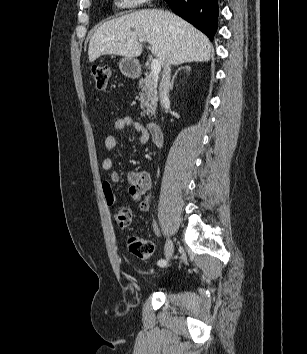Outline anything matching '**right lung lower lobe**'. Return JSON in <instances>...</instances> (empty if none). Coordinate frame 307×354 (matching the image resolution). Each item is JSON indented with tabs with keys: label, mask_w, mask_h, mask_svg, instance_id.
Wrapping results in <instances>:
<instances>
[{
	"label": "right lung lower lobe",
	"mask_w": 307,
	"mask_h": 354,
	"mask_svg": "<svg viewBox=\"0 0 307 354\" xmlns=\"http://www.w3.org/2000/svg\"><path fill=\"white\" fill-rule=\"evenodd\" d=\"M180 17L213 40L217 30L218 0H165Z\"/></svg>",
	"instance_id": "98d812e1"
}]
</instances>
